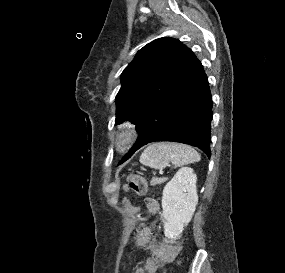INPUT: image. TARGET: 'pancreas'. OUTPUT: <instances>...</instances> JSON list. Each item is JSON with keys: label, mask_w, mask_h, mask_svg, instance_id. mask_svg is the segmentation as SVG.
<instances>
[{"label": "pancreas", "mask_w": 285, "mask_h": 273, "mask_svg": "<svg viewBox=\"0 0 285 273\" xmlns=\"http://www.w3.org/2000/svg\"><path fill=\"white\" fill-rule=\"evenodd\" d=\"M165 182V179L164 178H153L151 181H150V185L152 186H156L158 184H162Z\"/></svg>", "instance_id": "pancreas-1"}]
</instances>
